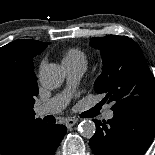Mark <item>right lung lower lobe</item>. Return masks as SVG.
<instances>
[{
    "label": "right lung lower lobe",
    "mask_w": 155,
    "mask_h": 155,
    "mask_svg": "<svg viewBox=\"0 0 155 155\" xmlns=\"http://www.w3.org/2000/svg\"><path fill=\"white\" fill-rule=\"evenodd\" d=\"M66 131L64 125L43 123L25 136L21 152L15 155H53Z\"/></svg>",
    "instance_id": "obj_1"
}]
</instances>
